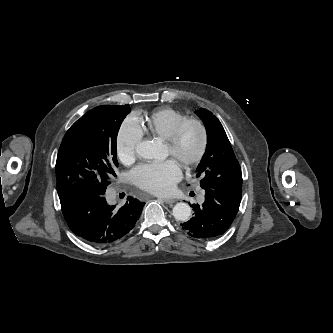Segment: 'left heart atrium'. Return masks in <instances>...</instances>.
I'll use <instances>...</instances> for the list:
<instances>
[{
    "mask_svg": "<svg viewBox=\"0 0 333 333\" xmlns=\"http://www.w3.org/2000/svg\"><path fill=\"white\" fill-rule=\"evenodd\" d=\"M181 175V167L174 159L140 164L130 174L136 186L158 195L170 193Z\"/></svg>",
    "mask_w": 333,
    "mask_h": 333,
    "instance_id": "39dd6f15",
    "label": "left heart atrium"
}]
</instances>
